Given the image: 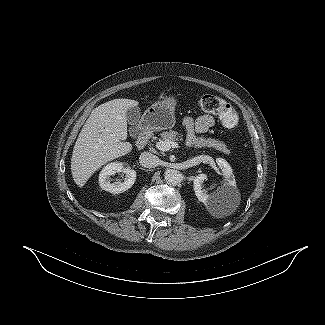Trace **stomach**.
I'll use <instances>...</instances> for the list:
<instances>
[{"label":"stomach","mask_w":325,"mask_h":325,"mask_svg":"<svg viewBox=\"0 0 325 325\" xmlns=\"http://www.w3.org/2000/svg\"><path fill=\"white\" fill-rule=\"evenodd\" d=\"M175 106L176 99L173 96L156 101L144 113L145 126L155 130L172 128L175 124Z\"/></svg>","instance_id":"stomach-1"}]
</instances>
